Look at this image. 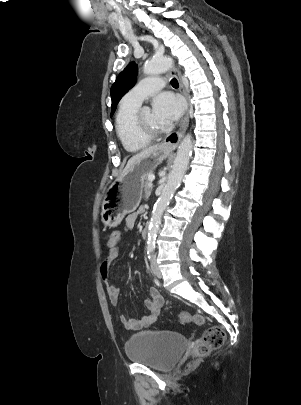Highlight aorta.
<instances>
[{
  "mask_svg": "<svg viewBox=\"0 0 301 405\" xmlns=\"http://www.w3.org/2000/svg\"><path fill=\"white\" fill-rule=\"evenodd\" d=\"M171 66L172 60L170 58H154L145 63L144 72L146 74L164 73L168 71ZM192 148V136L190 134H187L178 147L172 170L168 176L167 182L162 190L161 195L154 205L148 231V248H153L155 245L156 235L159 230L162 214L183 179V176L189 164Z\"/></svg>",
  "mask_w": 301,
  "mask_h": 405,
  "instance_id": "aorta-1",
  "label": "aorta"
}]
</instances>
